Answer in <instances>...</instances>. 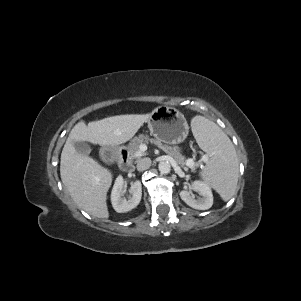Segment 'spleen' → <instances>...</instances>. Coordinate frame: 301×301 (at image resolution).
<instances>
[{"instance_id": "1", "label": "spleen", "mask_w": 301, "mask_h": 301, "mask_svg": "<svg viewBox=\"0 0 301 301\" xmlns=\"http://www.w3.org/2000/svg\"><path fill=\"white\" fill-rule=\"evenodd\" d=\"M191 127L199 146L209 155L201 177L224 201H228L234 195L238 182L236 150L228 136L209 119L195 116Z\"/></svg>"}]
</instances>
